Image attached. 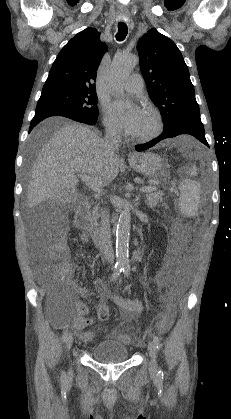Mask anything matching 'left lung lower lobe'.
<instances>
[{
  "instance_id": "left-lung-lower-lobe-1",
  "label": "left lung lower lobe",
  "mask_w": 231,
  "mask_h": 419,
  "mask_svg": "<svg viewBox=\"0 0 231 419\" xmlns=\"http://www.w3.org/2000/svg\"><path fill=\"white\" fill-rule=\"evenodd\" d=\"M182 134H189L197 138L200 142L205 144L209 147L206 138H205V132H204V126L200 119H186L182 122H180L175 127L165 130L159 137L156 139L143 144V145H137L135 146L137 151H142L145 149H148L158 143L159 141L166 139V138H172L178 135Z\"/></svg>"
}]
</instances>
